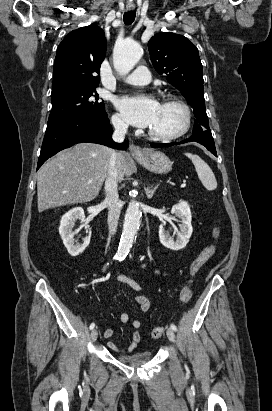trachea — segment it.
I'll list each match as a JSON object with an SVG mask.
<instances>
[{
    "label": "trachea",
    "instance_id": "1",
    "mask_svg": "<svg viewBox=\"0 0 272 411\" xmlns=\"http://www.w3.org/2000/svg\"><path fill=\"white\" fill-rule=\"evenodd\" d=\"M136 12L135 11H128L124 13V23L126 25H131L135 20Z\"/></svg>",
    "mask_w": 272,
    "mask_h": 411
}]
</instances>
